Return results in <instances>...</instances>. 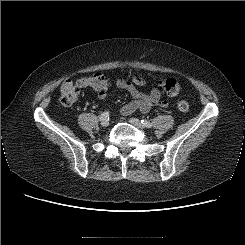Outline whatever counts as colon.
Wrapping results in <instances>:
<instances>
[{
    "mask_svg": "<svg viewBox=\"0 0 245 245\" xmlns=\"http://www.w3.org/2000/svg\"><path fill=\"white\" fill-rule=\"evenodd\" d=\"M111 84L110 78L102 73L83 77L77 81L67 80L60 89V100L63 105L74 104L81 88H89L96 91L106 90ZM158 90L168 96H178L182 92L181 85L175 79H162L157 82ZM189 103L182 100L178 103V109L182 112L189 110Z\"/></svg>",
    "mask_w": 245,
    "mask_h": 245,
    "instance_id": "1",
    "label": "colon"
}]
</instances>
